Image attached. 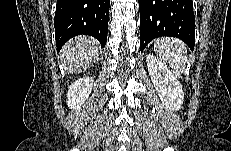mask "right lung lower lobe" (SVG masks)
<instances>
[{"label":"right lung lower lobe","instance_id":"obj_1","mask_svg":"<svg viewBox=\"0 0 231 151\" xmlns=\"http://www.w3.org/2000/svg\"><path fill=\"white\" fill-rule=\"evenodd\" d=\"M110 0H58L54 18L57 50L76 35L96 38L106 45Z\"/></svg>","mask_w":231,"mask_h":151}]
</instances>
